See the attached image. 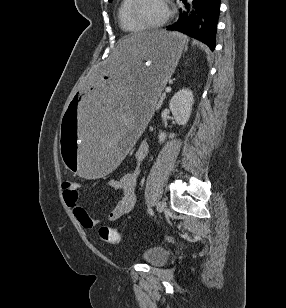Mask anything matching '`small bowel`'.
<instances>
[{
	"instance_id": "c3829d8e",
	"label": "small bowel",
	"mask_w": 286,
	"mask_h": 308,
	"mask_svg": "<svg viewBox=\"0 0 286 308\" xmlns=\"http://www.w3.org/2000/svg\"><path fill=\"white\" fill-rule=\"evenodd\" d=\"M148 151V143L142 141L135 151L136 162L141 163L147 157ZM138 176L139 168L136 167L132 171L123 174L119 179L110 181V186L114 189L120 190L122 192V197L108 215L109 221H116L133 209L136 199L135 188ZM64 200L84 229L92 230L96 227L97 221L90 217L85 208L79 202V192L68 193L64 191Z\"/></svg>"
}]
</instances>
